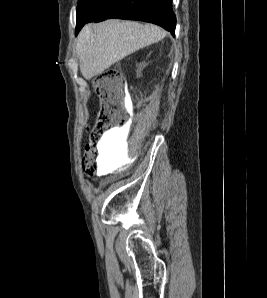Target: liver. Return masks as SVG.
<instances>
[{
    "mask_svg": "<svg viewBox=\"0 0 267 298\" xmlns=\"http://www.w3.org/2000/svg\"><path fill=\"white\" fill-rule=\"evenodd\" d=\"M164 37L165 31L152 24L116 19L89 23L76 43L82 76L89 80L100 75L114 63Z\"/></svg>",
    "mask_w": 267,
    "mask_h": 298,
    "instance_id": "6515ba94",
    "label": "liver"
}]
</instances>
